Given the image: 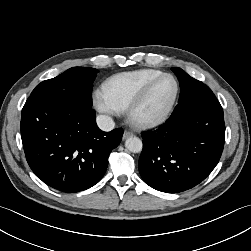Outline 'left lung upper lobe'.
Masks as SVG:
<instances>
[{"instance_id": "1", "label": "left lung upper lobe", "mask_w": 251, "mask_h": 251, "mask_svg": "<svg viewBox=\"0 0 251 251\" xmlns=\"http://www.w3.org/2000/svg\"><path fill=\"white\" fill-rule=\"evenodd\" d=\"M171 69L175 73V75L177 76V78L180 82V93L182 91L190 89L191 86H193V85L203 84L202 82L189 76L185 71H183L180 68L175 67V68H171Z\"/></svg>"}]
</instances>
